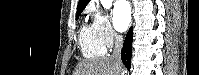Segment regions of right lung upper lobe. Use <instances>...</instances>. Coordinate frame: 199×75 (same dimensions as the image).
<instances>
[{"mask_svg":"<svg viewBox=\"0 0 199 75\" xmlns=\"http://www.w3.org/2000/svg\"><path fill=\"white\" fill-rule=\"evenodd\" d=\"M90 0H79L78 7H77V15L81 14V12L84 10L86 5L89 3Z\"/></svg>","mask_w":199,"mask_h":75,"instance_id":"1","label":"right lung upper lobe"}]
</instances>
